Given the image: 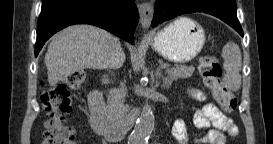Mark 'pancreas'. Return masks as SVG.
I'll return each instance as SVG.
<instances>
[{
	"label": "pancreas",
	"instance_id": "cf45deb5",
	"mask_svg": "<svg viewBox=\"0 0 273 144\" xmlns=\"http://www.w3.org/2000/svg\"><path fill=\"white\" fill-rule=\"evenodd\" d=\"M167 72L172 79L191 77L195 68L192 66L167 64ZM125 91L124 89H112L107 95V105L105 112L107 117L112 121H120L124 114L128 111V106L124 105Z\"/></svg>",
	"mask_w": 273,
	"mask_h": 144
}]
</instances>
